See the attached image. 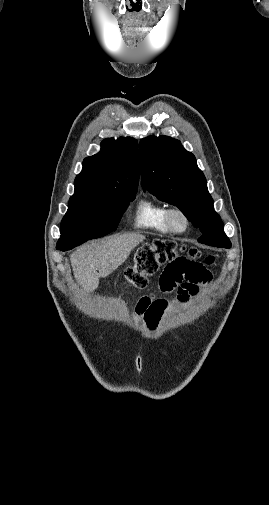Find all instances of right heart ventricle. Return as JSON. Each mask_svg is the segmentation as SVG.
<instances>
[{"instance_id": "obj_1", "label": "right heart ventricle", "mask_w": 269, "mask_h": 505, "mask_svg": "<svg viewBox=\"0 0 269 505\" xmlns=\"http://www.w3.org/2000/svg\"><path fill=\"white\" fill-rule=\"evenodd\" d=\"M167 206L151 198L140 199L134 209L133 226L148 229L158 234H170L165 221Z\"/></svg>"}]
</instances>
